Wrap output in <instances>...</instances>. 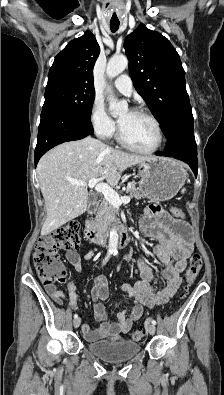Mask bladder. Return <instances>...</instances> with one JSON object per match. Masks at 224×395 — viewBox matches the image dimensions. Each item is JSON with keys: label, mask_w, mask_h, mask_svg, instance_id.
Masks as SVG:
<instances>
[{"label": "bladder", "mask_w": 224, "mask_h": 395, "mask_svg": "<svg viewBox=\"0 0 224 395\" xmlns=\"http://www.w3.org/2000/svg\"><path fill=\"white\" fill-rule=\"evenodd\" d=\"M86 349L104 361L116 363L134 358L141 345L126 337H118L87 343Z\"/></svg>", "instance_id": "1"}]
</instances>
